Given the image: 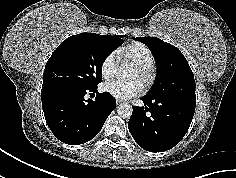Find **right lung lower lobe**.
<instances>
[{
	"instance_id": "obj_1",
	"label": "right lung lower lobe",
	"mask_w": 236,
	"mask_h": 178,
	"mask_svg": "<svg viewBox=\"0 0 236 178\" xmlns=\"http://www.w3.org/2000/svg\"><path fill=\"white\" fill-rule=\"evenodd\" d=\"M89 92L94 96L96 93L95 100L85 99ZM41 99L47 125L61 142L69 145L93 139L116 107L115 99L106 92L98 93L97 88L44 86Z\"/></svg>"
}]
</instances>
